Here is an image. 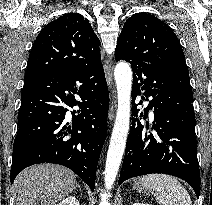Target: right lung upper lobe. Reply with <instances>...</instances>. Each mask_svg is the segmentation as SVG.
I'll use <instances>...</instances> for the list:
<instances>
[{
	"mask_svg": "<svg viewBox=\"0 0 212 205\" xmlns=\"http://www.w3.org/2000/svg\"><path fill=\"white\" fill-rule=\"evenodd\" d=\"M100 41L81 14L68 13L47 24L29 55L24 81L49 73L102 67Z\"/></svg>",
	"mask_w": 212,
	"mask_h": 205,
	"instance_id": "cb5924a9",
	"label": "right lung upper lobe"
}]
</instances>
